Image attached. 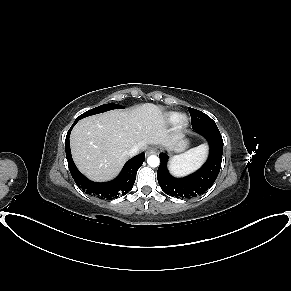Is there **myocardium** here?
Here are the masks:
<instances>
[{
    "label": "myocardium",
    "mask_w": 291,
    "mask_h": 291,
    "mask_svg": "<svg viewBox=\"0 0 291 291\" xmlns=\"http://www.w3.org/2000/svg\"><path fill=\"white\" fill-rule=\"evenodd\" d=\"M175 125L177 128L182 129L188 125V117L186 114H178L175 117Z\"/></svg>",
    "instance_id": "f54148a6"
}]
</instances>
